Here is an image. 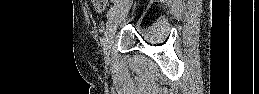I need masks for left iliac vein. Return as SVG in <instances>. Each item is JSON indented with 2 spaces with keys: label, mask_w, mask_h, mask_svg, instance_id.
<instances>
[{
  "label": "left iliac vein",
  "mask_w": 259,
  "mask_h": 94,
  "mask_svg": "<svg viewBox=\"0 0 259 94\" xmlns=\"http://www.w3.org/2000/svg\"><path fill=\"white\" fill-rule=\"evenodd\" d=\"M122 11L116 10L107 21V30L103 40V50L106 61L110 59V52L113 44L114 35L121 20Z\"/></svg>",
  "instance_id": "obj_1"
}]
</instances>
